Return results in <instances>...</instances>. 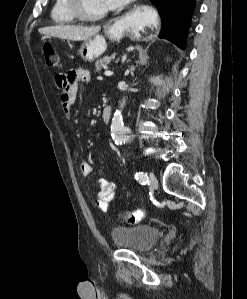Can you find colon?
<instances>
[{"label": "colon", "instance_id": "obj_1", "mask_svg": "<svg viewBox=\"0 0 247 299\" xmlns=\"http://www.w3.org/2000/svg\"><path fill=\"white\" fill-rule=\"evenodd\" d=\"M43 53H44L45 62L47 66L55 67L58 65L59 57L52 44L50 43L44 44ZM144 217H145V211L142 209L120 214V218L123 221L132 225L140 222Z\"/></svg>", "mask_w": 247, "mask_h": 299}]
</instances>
